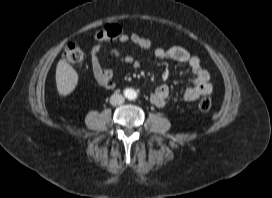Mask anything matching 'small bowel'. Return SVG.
<instances>
[{
  "instance_id": "1",
  "label": "small bowel",
  "mask_w": 272,
  "mask_h": 198,
  "mask_svg": "<svg viewBox=\"0 0 272 198\" xmlns=\"http://www.w3.org/2000/svg\"><path fill=\"white\" fill-rule=\"evenodd\" d=\"M121 43H131L137 50L148 51L151 49V43L148 39L139 36L136 33L131 35H123L119 38ZM108 55L116 58L121 63L130 66L132 69H138L141 66L140 61L131 54H125L119 49H111ZM153 56L156 60L161 61L170 59L175 62L187 65L194 78L192 86L187 88L183 93V100L186 102H193L201 97L211 93L212 83L209 72L202 66L200 59L188 52L180 46H172L169 48L158 47L153 50ZM91 68L93 76L97 84L106 90H111L116 86L114 73L111 69L102 67L101 63V46L95 45L90 53ZM170 89L167 85L157 87L150 101L158 108H164L168 104Z\"/></svg>"
}]
</instances>
